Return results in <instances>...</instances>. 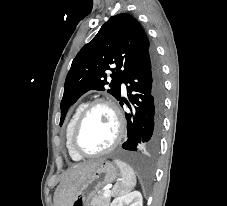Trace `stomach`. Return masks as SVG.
I'll return each mask as SVG.
<instances>
[{
	"mask_svg": "<svg viewBox=\"0 0 227 206\" xmlns=\"http://www.w3.org/2000/svg\"><path fill=\"white\" fill-rule=\"evenodd\" d=\"M119 176L117 167L109 161H101L78 188L70 206H89L90 199L105 185L114 182Z\"/></svg>",
	"mask_w": 227,
	"mask_h": 206,
	"instance_id": "stomach-1",
	"label": "stomach"
}]
</instances>
